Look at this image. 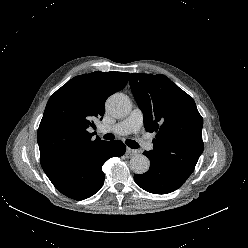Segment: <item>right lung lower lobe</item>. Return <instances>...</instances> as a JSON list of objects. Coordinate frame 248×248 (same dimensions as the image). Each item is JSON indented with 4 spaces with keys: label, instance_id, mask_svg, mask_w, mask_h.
<instances>
[{
    "label": "right lung lower lobe",
    "instance_id": "obj_1",
    "mask_svg": "<svg viewBox=\"0 0 248 248\" xmlns=\"http://www.w3.org/2000/svg\"><path fill=\"white\" fill-rule=\"evenodd\" d=\"M126 146L114 140L99 143L89 149L72 155L68 161L48 178L64 195L75 200H83L94 195L104 183L102 165L110 157L122 156Z\"/></svg>",
    "mask_w": 248,
    "mask_h": 248
}]
</instances>
